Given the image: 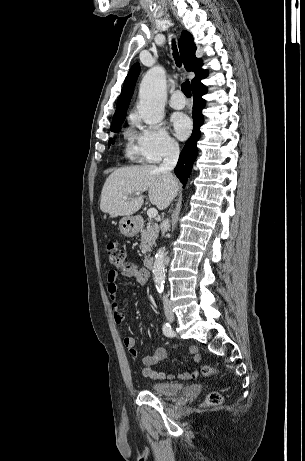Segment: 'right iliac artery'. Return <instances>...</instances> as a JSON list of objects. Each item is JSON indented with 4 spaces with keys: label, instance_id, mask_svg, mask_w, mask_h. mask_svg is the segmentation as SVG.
I'll use <instances>...</instances> for the list:
<instances>
[{
    "label": "right iliac artery",
    "instance_id": "right-iliac-artery-1",
    "mask_svg": "<svg viewBox=\"0 0 305 461\" xmlns=\"http://www.w3.org/2000/svg\"><path fill=\"white\" fill-rule=\"evenodd\" d=\"M162 329L165 336L172 337L174 335V331L169 323H164Z\"/></svg>",
    "mask_w": 305,
    "mask_h": 461
}]
</instances>
